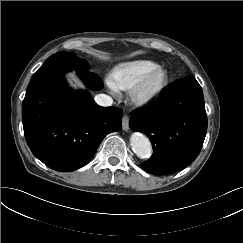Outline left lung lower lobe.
<instances>
[{
  "label": "left lung lower lobe",
  "instance_id": "1",
  "mask_svg": "<svg viewBox=\"0 0 243 243\" xmlns=\"http://www.w3.org/2000/svg\"><path fill=\"white\" fill-rule=\"evenodd\" d=\"M129 126L152 143V157L141 164L145 171L165 175L183 169L198 156L207 132L199 83L193 78L174 83L157 101L134 110Z\"/></svg>",
  "mask_w": 243,
  "mask_h": 243
}]
</instances>
